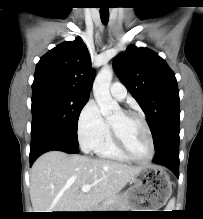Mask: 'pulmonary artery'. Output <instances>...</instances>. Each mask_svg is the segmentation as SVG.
<instances>
[{
	"label": "pulmonary artery",
	"instance_id": "obj_1",
	"mask_svg": "<svg viewBox=\"0 0 203 219\" xmlns=\"http://www.w3.org/2000/svg\"><path fill=\"white\" fill-rule=\"evenodd\" d=\"M110 93L115 99L121 101L126 97L127 91L122 83L114 82L110 87Z\"/></svg>",
	"mask_w": 203,
	"mask_h": 219
}]
</instances>
